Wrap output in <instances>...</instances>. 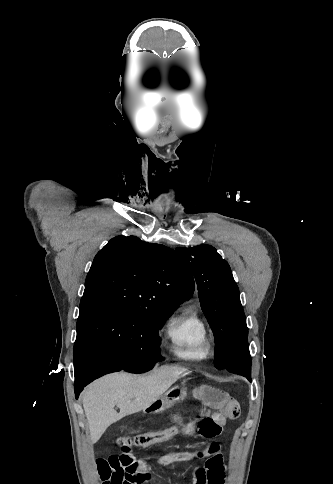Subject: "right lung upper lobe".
Instances as JSON below:
<instances>
[{
    "instance_id": "1",
    "label": "right lung upper lobe",
    "mask_w": 333,
    "mask_h": 484,
    "mask_svg": "<svg viewBox=\"0 0 333 484\" xmlns=\"http://www.w3.org/2000/svg\"><path fill=\"white\" fill-rule=\"evenodd\" d=\"M194 292L176 251L136 236L111 239L94 258L80 307L116 305L172 312Z\"/></svg>"
}]
</instances>
